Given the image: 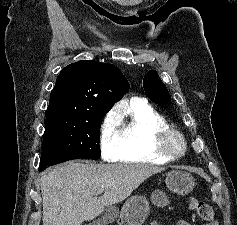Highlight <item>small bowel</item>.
Masks as SVG:
<instances>
[{
    "mask_svg": "<svg viewBox=\"0 0 237 225\" xmlns=\"http://www.w3.org/2000/svg\"><path fill=\"white\" fill-rule=\"evenodd\" d=\"M176 225H192L189 221L181 219L177 221Z\"/></svg>",
    "mask_w": 237,
    "mask_h": 225,
    "instance_id": "obj_1",
    "label": "small bowel"
}]
</instances>
